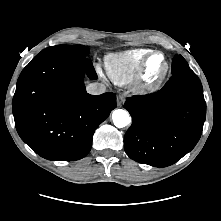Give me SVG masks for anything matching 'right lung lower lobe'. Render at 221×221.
Masks as SVG:
<instances>
[{
  "mask_svg": "<svg viewBox=\"0 0 221 221\" xmlns=\"http://www.w3.org/2000/svg\"><path fill=\"white\" fill-rule=\"evenodd\" d=\"M85 76L97 78L88 58L50 54L34 57L21 72L13 97L15 126L41 157H85L96 128L116 107L114 93L88 94Z\"/></svg>",
  "mask_w": 221,
  "mask_h": 221,
  "instance_id": "1",
  "label": "right lung lower lobe"
}]
</instances>
